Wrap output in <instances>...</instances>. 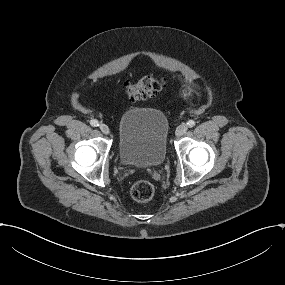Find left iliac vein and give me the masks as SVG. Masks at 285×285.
<instances>
[{"label":"left iliac vein","mask_w":285,"mask_h":285,"mask_svg":"<svg viewBox=\"0 0 285 285\" xmlns=\"http://www.w3.org/2000/svg\"><path fill=\"white\" fill-rule=\"evenodd\" d=\"M187 131V126L184 125V124H181L179 125L177 128H176V131H175V134L176 136H182L185 132Z\"/></svg>","instance_id":"1"}]
</instances>
